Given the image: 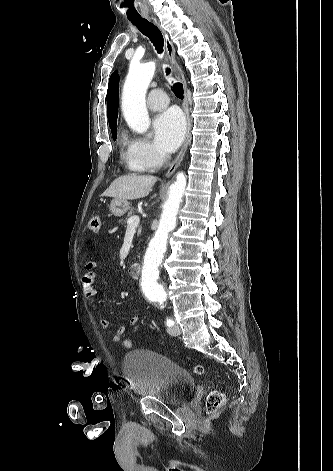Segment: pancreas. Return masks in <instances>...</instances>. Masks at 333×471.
<instances>
[{
	"instance_id": "pancreas-1",
	"label": "pancreas",
	"mask_w": 333,
	"mask_h": 471,
	"mask_svg": "<svg viewBox=\"0 0 333 471\" xmlns=\"http://www.w3.org/2000/svg\"><path fill=\"white\" fill-rule=\"evenodd\" d=\"M135 212V209L134 208H130L129 212H128V217H131Z\"/></svg>"
}]
</instances>
